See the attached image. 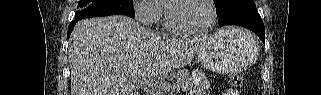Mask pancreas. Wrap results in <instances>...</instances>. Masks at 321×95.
Returning a JSON list of instances; mask_svg holds the SVG:
<instances>
[{
	"mask_svg": "<svg viewBox=\"0 0 321 95\" xmlns=\"http://www.w3.org/2000/svg\"><path fill=\"white\" fill-rule=\"evenodd\" d=\"M173 77L176 79L175 86L177 88H180L182 90H191L193 88L191 76L188 71L181 70L173 75ZM165 83V82H164ZM166 84V83H165ZM167 89L169 88V85L166 84ZM165 89L163 88H153L152 94L153 95H162V91Z\"/></svg>",
	"mask_w": 321,
	"mask_h": 95,
	"instance_id": "cf45deb5",
	"label": "pancreas"
}]
</instances>
